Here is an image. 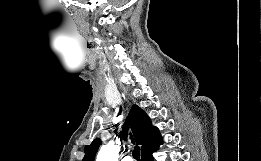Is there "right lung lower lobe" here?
Segmentation results:
<instances>
[{
  "label": "right lung lower lobe",
  "instance_id": "obj_1",
  "mask_svg": "<svg viewBox=\"0 0 261 161\" xmlns=\"http://www.w3.org/2000/svg\"><path fill=\"white\" fill-rule=\"evenodd\" d=\"M158 149V147L153 150L152 152H149L142 156V161H153L152 153L155 152Z\"/></svg>",
  "mask_w": 261,
  "mask_h": 161
}]
</instances>
